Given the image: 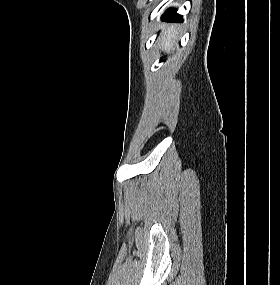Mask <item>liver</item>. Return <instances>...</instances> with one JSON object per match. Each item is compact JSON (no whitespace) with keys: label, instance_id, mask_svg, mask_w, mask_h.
Listing matches in <instances>:
<instances>
[{"label":"liver","instance_id":"6515ba94","mask_svg":"<svg viewBox=\"0 0 280 285\" xmlns=\"http://www.w3.org/2000/svg\"><path fill=\"white\" fill-rule=\"evenodd\" d=\"M174 38L173 26H166L162 33V47L168 53L170 51H174L175 44L173 43L172 39Z\"/></svg>","mask_w":280,"mask_h":285}]
</instances>
